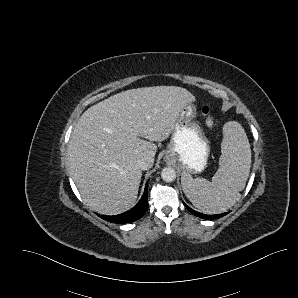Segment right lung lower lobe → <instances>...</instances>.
Here are the masks:
<instances>
[{
  "instance_id": "obj_1",
  "label": "right lung lower lobe",
  "mask_w": 298,
  "mask_h": 298,
  "mask_svg": "<svg viewBox=\"0 0 298 298\" xmlns=\"http://www.w3.org/2000/svg\"><path fill=\"white\" fill-rule=\"evenodd\" d=\"M147 198H148V190L146 186L145 192L142 198L140 199V201L136 204V206H134L129 211L115 216H105V215H99V214L97 215L102 219L112 223H129V222L136 221L145 214L146 210L149 207Z\"/></svg>"
}]
</instances>
